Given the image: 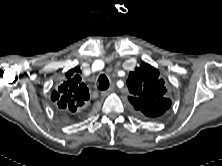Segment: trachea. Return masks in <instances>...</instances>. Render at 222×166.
<instances>
[{
  "mask_svg": "<svg viewBox=\"0 0 222 166\" xmlns=\"http://www.w3.org/2000/svg\"><path fill=\"white\" fill-rule=\"evenodd\" d=\"M99 88L101 90H106L109 88V80L104 74L100 75L99 77Z\"/></svg>",
  "mask_w": 222,
  "mask_h": 166,
  "instance_id": "trachea-1",
  "label": "trachea"
}]
</instances>
